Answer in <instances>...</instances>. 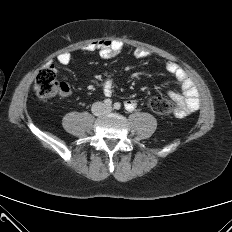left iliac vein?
Segmentation results:
<instances>
[{
	"label": "left iliac vein",
	"mask_w": 232,
	"mask_h": 232,
	"mask_svg": "<svg viewBox=\"0 0 232 232\" xmlns=\"http://www.w3.org/2000/svg\"><path fill=\"white\" fill-rule=\"evenodd\" d=\"M112 110V107H107V111H111Z\"/></svg>",
	"instance_id": "1"
}]
</instances>
